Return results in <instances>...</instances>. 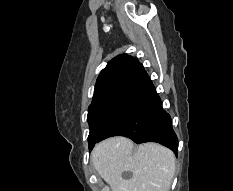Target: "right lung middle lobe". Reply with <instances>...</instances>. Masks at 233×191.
<instances>
[{
  "instance_id": "1",
  "label": "right lung middle lobe",
  "mask_w": 233,
  "mask_h": 191,
  "mask_svg": "<svg viewBox=\"0 0 233 191\" xmlns=\"http://www.w3.org/2000/svg\"><path fill=\"white\" fill-rule=\"evenodd\" d=\"M127 92L116 94L92 103L88 109L87 120L90 127L89 149L95 144L106 127L126 105Z\"/></svg>"
}]
</instances>
